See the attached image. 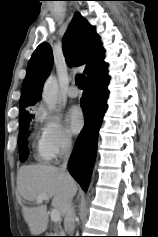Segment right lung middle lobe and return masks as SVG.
<instances>
[{
    "label": "right lung middle lobe",
    "instance_id": "1",
    "mask_svg": "<svg viewBox=\"0 0 158 237\" xmlns=\"http://www.w3.org/2000/svg\"><path fill=\"white\" fill-rule=\"evenodd\" d=\"M29 121H30V116L20 118V130H19L18 144L20 147L19 157L22 162L25 161L28 156V146L25 143L27 141V129H28Z\"/></svg>",
    "mask_w": 158,
    "mask_h": 237
}]
</instances>
